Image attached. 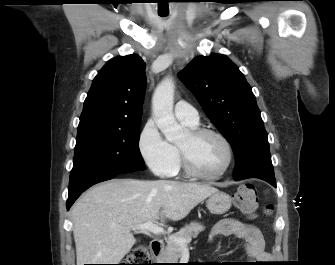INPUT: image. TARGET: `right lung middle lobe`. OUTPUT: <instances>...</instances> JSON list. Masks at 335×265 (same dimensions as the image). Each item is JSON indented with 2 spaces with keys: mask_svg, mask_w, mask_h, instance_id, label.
<instances>
[{
  "mask_svg": "<svg viewBox=\"0 0 335 265\" xmlns=\"http://www.w3.org/2000/svg\"><path fill=\"white\" fill-rule=\"evenodd\" d=\"M140 122L78 131L69 185L94 173L144 170L139 150Z\"/></svg>",
  "mask_w": 335,
  "mask_h": 265,
  "instance_id": "1",
  "label": "right lung middle lobe"
}]
</instances>
